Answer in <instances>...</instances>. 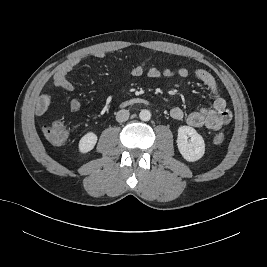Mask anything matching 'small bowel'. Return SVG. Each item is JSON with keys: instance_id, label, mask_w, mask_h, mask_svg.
<instances>
[{"instance_id": "1", "label": "small bowel", "mask_w": 267, "mask_h": 267, "mask_svg": "<svg viewBox=\"0 0 267 267\" xmlns=\"http://www.w3.org/2000/svg\"><path fill=\"white\" fill-rule=\"evenodd\" d=\"M97 58H104L105 53L99 51L95 54ZM80 60L75 58L60 67L53 79V85L55 88L70 92L73 90V85L69 80V74L79 65ZM148 67L147 62L143 61L140 64L134 66L130 69L132 71L131 76L140 77L147 75L150 78H158L161 76H179L187 77L190 71L186 68H180L178 70H171L170 72L164 74L160 71H155L153 73H146ZM192 75L205 87L209 94L213 97V103L211 108H200L197 111L189 113L185 117V113L182 108L174 107L170 110V116L175 120H181L185 117L188 125L199 128L206 127L210 130H219L223 125L230 122L232 114L227 108V103L223 97H221L218 84L211 73L202 68H197L192 71ZM51 103V97L49 95H43L36 108L38 115L43 114ZM81 108V102L78 99H72L70 101V110L77 112Z\"/></svg>"}]
</instances>
